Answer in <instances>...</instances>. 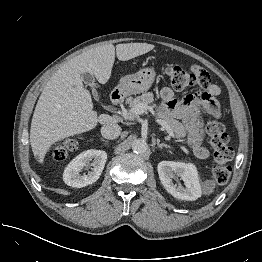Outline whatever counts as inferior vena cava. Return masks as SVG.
I'll use <instances>...</instances> for the list:
<instances>
[{
  "label": "inferior vena cava",
  "instance_id": "1",
  "mask_svg": "<svg viewBox=\"0 0 262 262\" xmlns=\"http://www.w3.org/2000/svg\"><path fill=\"white\" fill-rule=\"evenodd\" d=\"M121 133V127L116 123L104 124L101 128V134L106 139H115Z\"/></svg>",
  "mask_w": 262,
  "mask_h": 262
}]
</instances>
